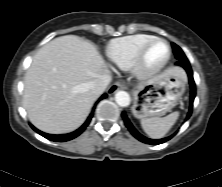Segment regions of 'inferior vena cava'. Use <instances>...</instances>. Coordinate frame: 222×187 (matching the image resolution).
Instances as JSON below:
<instances>
[{
  "instance_id": "1",
  "label": "inferior vena cava",
  "mask_w": 222,
  "mask_h": 187,
  "mask_svg": "<svg viewBox=\"0 0 222 187\" xmlns=\"http://www.w3.org/2000/svg\"><path fill=\"white\" fill-rule=\"evenodd\" d=\"M111 76L108 74L101 75L98 79L91 82L90 88L93 93L100 95L109 85Z\"/></svg>"
}]
</instances>
